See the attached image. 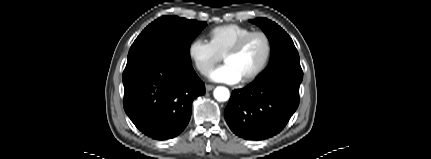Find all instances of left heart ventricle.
Listing matches in <instances>:
<instances>
[{"instance_id": "1", "label": "left heart ventricle", "mask_w": 431, "mask_h": 159, "mask_svg": "<svg viewBox=\"0 0 431 159\" xmlns=\"http://www.w3.org/2000/svg\"><path fill=\"white\" fill-rule=\"evenodd\" d=\"M266 44L262 37H254L237 55L229 56L225 63L231 65L241 79L252 74L263 62Z\"/></svg>"}]
</instances>
